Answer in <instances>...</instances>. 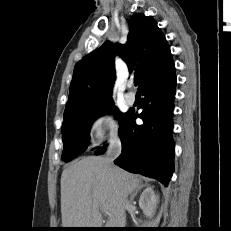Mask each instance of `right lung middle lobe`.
<instances>
[{"label":"right lung middle lobe","mask_w":231,"mask_h":231,"mask_svg":"<svg viewBox=\"0 0 231 231\" xmlns=\"http://www.w3.org/2000/svg\"><path fill=\"white\" fill-rule=\"evenodd\" d=\"M108 111H116L112 101L83 111L65 114L62 124L63 152L62 159L71 161L84 151L89 144V130L94 120ZM127 113L116 112L122 122Z\"/></svg>","instance_id":"1"}]
</instances>
